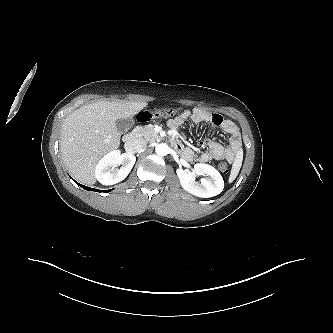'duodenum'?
I'll use <instances>...</instances> for the list:
<instances>
[{
  "label": "duodenum",
  "instance_id": "1",
  "mask_svg": "<svg viewBox=\"0 0 333 333\" xmlns=\"http://www.w3.org/2000/svg\"><path fill=\"white\" fill-rule=\"evenodd\" d=\"M137 139H138V131L137 130H133V131L127 133L124 136L126 149L129 150V151L133 150L135 145H136ZM172 143H173L174 146H177L179 144V141L173 139Z\"/></svg>",
  "mask_w": 333,
  "mask_h": 333
}]
</instances>
